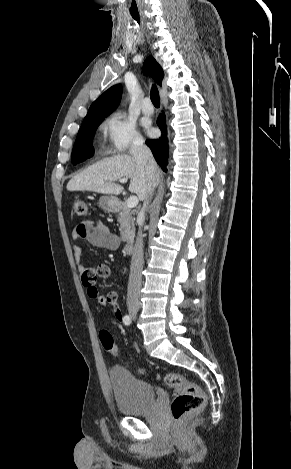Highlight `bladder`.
<instances>
[{
	"label": "bladder",
	"instance_id": "1",
	"mask_svg": "<svg viewBox=\"0 0 291 469\" xmlns=\"http://www.w3.org/2000/svg\"><path fill=\"white\" fill-rule=\"evenodd\" d=\"M109 379L116 407L122 415L138 416L151 410L156 398L152 385L122 366L112 367Z\"/></svg>",
	"mask_w": 291,
	"mask_h": 469
}]
</instances>
